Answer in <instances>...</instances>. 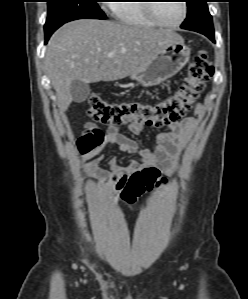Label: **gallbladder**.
Segmentation results:
<instances>
[{
    "mask_svg": "<svg viewBox=\"0 0 248 299\" xmlns=\"http://www.w3.org/2000/svg\"><path fill=\"white\" fill-rule=\"evenodd\" d=\"M70 91L75 103L84 102L90 94V87L82 81L75 80L71 83Z\"/></svg>",
    "mask_w": 248,
    "mask_h": 299,
    "instance_id": "bac80fb5",
    "label": "gallbladder"
}]
</instances>
